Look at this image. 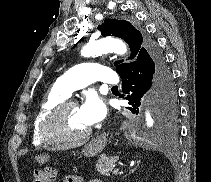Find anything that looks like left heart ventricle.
Returning a JSON list of instances; mask_svg holds the SVG:
<instances>
[{"mask_svg":"<svg viewBox=\"0 0 211 182\" xmlns=\"http://www.w3.org/2000/svg\"><path fill=\"white\" fill-rule=\"evenodd\" d=\"M90 126H88L80 116L77 106H70L66 109L60 122L62 133L76 136L82 134Z\"/></svg>","mask_w":211,"mask_h":182,"instance_id":"1","label":"left heart ventricle"}]
</instances>
